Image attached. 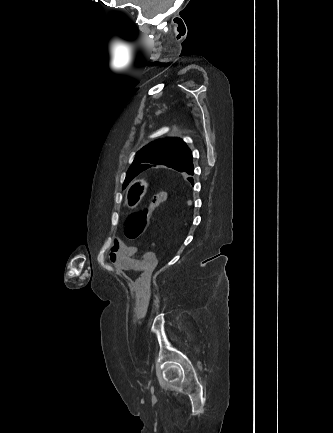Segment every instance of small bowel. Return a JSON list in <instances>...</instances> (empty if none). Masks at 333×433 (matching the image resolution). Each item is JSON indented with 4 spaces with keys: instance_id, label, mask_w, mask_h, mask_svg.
I'll return each mask as SVG.
<instances>
[{
    "instance_id": "1",
    "label": "small bowel",
    "mask_w": 333,
    "mask_h": 433,
    "mask_svg": "<svg viewBox=\"0 0 333 433\" xmlns=\"http://www.w3.org/2000/svg\"><path fill=\"white\" fill-rule=\"evenodd\" d=\"M110 262L124 270L140 272L143 275L152 273L158 265L156 252L149 251L140 254L135 246L117 242L109 251ZM134 314L137 319L146 316L151 300L150 290H134Z\"/></svg>"
}]
</instances>
